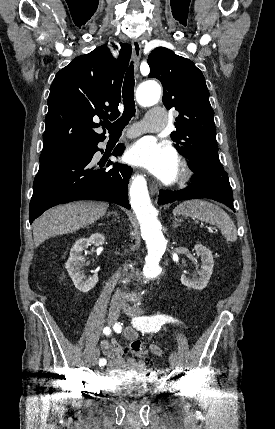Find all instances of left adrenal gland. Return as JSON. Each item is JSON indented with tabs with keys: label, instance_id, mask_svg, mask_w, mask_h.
Instances as JSON below:
<instances>
[{
	"label": "left adrenal gland",
	"instance_id": "left-adrenal-gland-1",
	"mask_svg": "<svg viewBox=\"0 0 275 429\" xmlns=\"http://www.w3.org/2000/svg\"><path fill=\"white\" fill-rule=\"evenodd\" d=\"M178 226H179V224H178L177 220L173 221V227L175 228V227H178Z\"/></svg>",
	"mask_w": 275,
	"mask_h": 429
}]
</instances>
